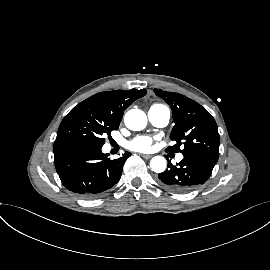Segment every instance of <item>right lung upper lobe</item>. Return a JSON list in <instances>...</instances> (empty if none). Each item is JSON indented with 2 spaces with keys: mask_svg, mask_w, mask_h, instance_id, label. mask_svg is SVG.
I'll return each instance as SVG.
<instances>
[{
  "mask_svg": "<svg viewBox=\"0 0 270 270\" xmlns=\"http://www.w3.org/2000/svg\"><path fill=\"white\" fill-rule=\"evenodd\" d=\"M146 93L145 89L100 92L84 100L83 103L87 104L98 118L119 126L124 110Z\"/></svg>",
  "mask_w": 270,
  "mask_h": 270,
  "instance_id": "obj_1",
  "label": "right lung upper lobe"
}]
</instances>
